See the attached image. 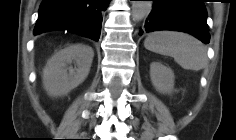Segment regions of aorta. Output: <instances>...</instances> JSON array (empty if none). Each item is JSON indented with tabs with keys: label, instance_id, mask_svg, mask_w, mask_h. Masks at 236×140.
I'll return each instance as SVG.
<instances>
[{
	"label": "aorta",
	"instance_id": "aorta-1",
	"mask_svg": "<svg viewBox=\"0 0 236 140\" xmlns=\"http://www.w3.org/2000/svg\"><path fill=\"white\" fill-rule=\"evenodd\" d=\"M152 7L151 1H132V18L134 21H140L146 17Z\"/></svg>",
	"mask_w": 236,
	"mask_h": 140
}]
</instances>
